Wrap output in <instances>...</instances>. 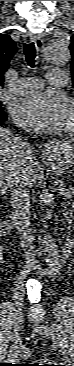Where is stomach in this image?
<instances>
[{"instance_id": "obj_1", "label": "stomach", "mask_w": 74, "mask_h": 366, "mask_svg": "<svg viewBox=\"0 0 74 366\" xmlns=\"http://www.w3.org/2000/svg\"><path fill=\"white\" fill-rule=\"evenodd\" d=\"M62 153H63V151L58 147V148H55L54 151H52L48 155L53 156L55 154H62Z\"/></svg>"}]
</instances>
